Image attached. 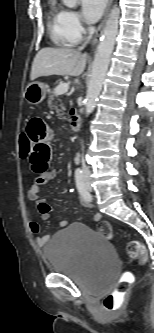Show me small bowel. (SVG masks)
<instances>
[{"label":"small bowel","instance_id":"small-bowel-1","mask_svg":"<svg viewBox=\"0 0 154 333\" xmlns=\"http://www.w3.org/2000/svg\"><path fill=\"white\" fill-rule=\"evenodd\" d=\"M26 134L29 136L32 142V149L29 156L30 167L35 173L36 177L28 190V197L30 200L35 201L37 204L38 212L41 219L47 221L50 219L52 213V207L47 201L40 196V187L45 185L56 176V171L50 168L51 163V141L52 130L50 127L40 118H32L27 126ZM83 204L90 206L88 202L83 199ZM100 214L95 213L93 215L94 221H99ZM67 221H59L60 227H66ZM29 228L31 232L36 236V243L38 246H44L50 239V235H40V225L33 219L29 221Z\"/></svg>","mask_w":154,"mask_h":333}]
</instances>
